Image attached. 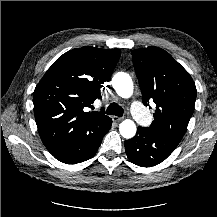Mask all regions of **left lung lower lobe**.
<instances>
[{
    "label": "left lung lower lobe",
    "mask_w": 217,
    "mask_h": 217,
    "mask_svg": "<svg viewBox=\"0 0 217 217\" xmlns=\"http://www.w3.org/2000/svg\"><path fill=\"white\" fill-rule=\"evenodd\" d=\"M178 144L149 127H138L136 135L125 141V151L132 163L151 167L164 161Z\"/></svg>",
    "instance_id": "left-lung-lower-lobe-1"
}]
</instances>
